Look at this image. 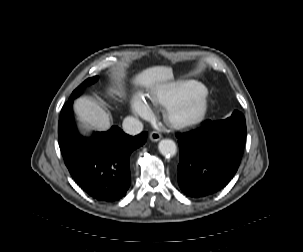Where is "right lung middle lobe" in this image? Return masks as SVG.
Instances as JSON below:
<instances>
[{
    "label": "right lung middle lobe",
    "instance_id": "right-lung-middle-lobe-1",
    "mask_svg": "<svg viewBox=\"0 0 303 252\" xmlns=\"http://www.w3.org/2000/svg\"><path fill=\"white\" fill-rule=\"evenodd\" d=\"M97 76L89 78L87 80H85L73 93L72 95H74L75 97H77L79 94L82 93L83 87L89 85V84H93L96 80H97Z\"/></svg>",
    "mask_w": 303,
    "mask_h": 252
}]
</instances>
